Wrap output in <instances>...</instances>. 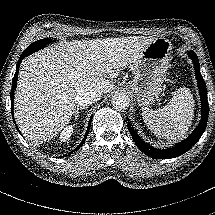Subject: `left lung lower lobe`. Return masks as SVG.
Segmentation results:
<instances>
[{"instance_id":"0a47b994","label":"left lung lower lobe","mask_w":215,"mask_h":215,"mask_svg":"<svg viewBox=\"0 0 215 215\" xmlns=\"http://www.w3.org/2000/svg\"><path fill=\"white\" fill-rule=\"evenodd\" d=\"M189 57L192 59L194 67H195V75L198 82L199 93L201 96V111L202 117L199 125L197 128L192 132V134L182 142L176 144L174 147H170L167 149H156L149 144L145 143L135 132V130L131 127L130 124L127 125L130 134L138 146V148L145 153L146 155L152 158H159V159H169L174 158L179 155L184 154L187 152L196 142L200 139L202 134L205 131L207 120H208V100H207V89L204 79L200 73V64L197 58V55L193 51L188 52Z\"/></svg>"}]
</instances>
